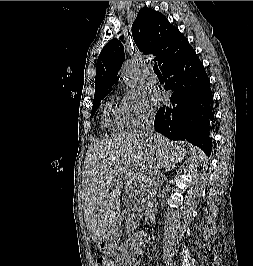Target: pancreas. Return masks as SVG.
Returning a JSON list of instances; mask_svg holds the SVG:
<instances>
[{
	"mask_svg": "<svg viewBox=\"0 0 253 266\" xmlns=\"http://www.w3.org/2000/svg\"><path fill=\"white\" fill-rule=\"evenodd\" d=\"M137 193L132 195V198L130 199L128 203V217H127V227L129 228H135L137 224L139 223V220L141 218V210L139 206L136 204V202H139L137 199Z\"/></svg>",
	"mask_w": 253,
	"mask_h": 266,
	"instance_id": "1",
	"label": "pancreas"
}]
</instances>
